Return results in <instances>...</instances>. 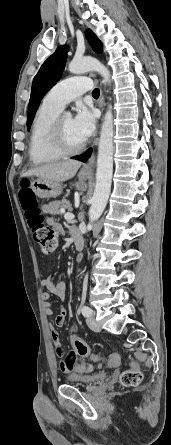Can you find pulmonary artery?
Listing matches in <instances>:
<instances>
[{
  "mask_svg": "<svg viewBox=\"0 0 171 445\" xmlns=\"http://www.w3.org/2000/svg\"><path fill=\"white\" fill-rule=\"evenodd\" d=\"M92 88V83L88 77H71L62 80L44 97L43 102L58 110H62L64 106L82 95L88 92Z\"/></svg>",
  "mask_w": 171,
  "mask_h": 445,
  "instance_id": "pulmonary-artery-1",
  "label": "pulmonary artery"
}]
</instances>
